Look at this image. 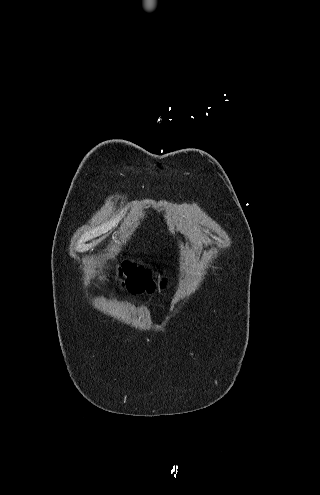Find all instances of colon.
I'll return each mask as SVG.
<instances>
[{
  "instance_id": "obj_1",
  "label": "colon",
  "mask_w": 320,
  "mask_h": 495,
  "mask_svg": "<svg viewBox=\"0 0 320 495\" xmlns=\"http://www.w3.org/2000/svg\"><path fill=\"white\" fill-rule=\"evenodd\" d=\"M120 272L126 277L125 285L130 290L140 292L145 288L151 289L149 271L144 266L132 261H125Z\"/></svg>"
}]
</instances>
